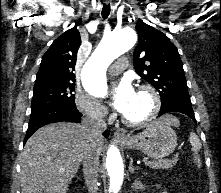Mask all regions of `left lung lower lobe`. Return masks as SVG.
<instances>
[{
    "mask_svg": "<svg viewBox=\"0 0 221 193\" xmlns=\"http://www.w3.org/2000/svg\"><path fill=\"white\" fill-rule=\"evenodd\" d=\"M169 112H180L189 116L195 123L196 119L194 116L191 100L189 96L177 97L169 100L165 104L161 105V109L158 116Z\"/></svg>",
    "mask_w": 221,
    "mask_h": 193,
    "instance_id": "1",
    "label": "left lung lower lobe"
}]
</instances>
